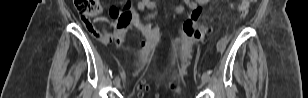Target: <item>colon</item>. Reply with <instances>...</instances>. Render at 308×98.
<instances>
[{"mask_svg":"<svg viewBox=\"0 0 308 98\" xmlns=\"http://www.w3.org/2000/svg\"><path fill=\"white\" fill-rule=\"evenodd\" d=\"M256 0H242L236 7V16L244 18L249 12V8ZM74 5L80 14L81 20L88 30L94 32L99 40L103 42H111L112 40L118 46H122L125 42L127 31H140L145 37L144 47L140 56V67L149 62L153 51L159 41L157 32V24H150L149 21H137L136 15L140 14L139 10H133L131 1H125L111 8L110 16L117 20L114 33L102 34L95 31L91 19L101 12V5L98 0H74ZM136 14V15H135ZM144 19V18H143ZM148 19V18H145ZM211 31V27L203 21V10L197 8L193 10L183 25V39L194 44L203 40L204 36ZM189 64V57L183 58L179 63L180 72H184ZM177 88V83H174Z\"/></svg>","mask_w":308,"mask_h":98,"instance_id":"1","label":"colon"}]
</instances>
